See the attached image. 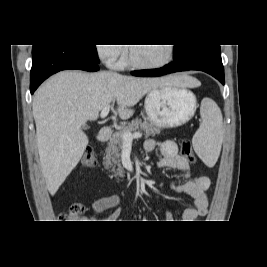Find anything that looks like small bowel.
Listing matches in <instances>:
<instances>
[{"instance_id":"1","label":"small bowel","mask_w":267,"mask_h":267,"mask_svg":"<svg viewBox=\"0 0 267 267\" xmlns=\"http://www.w3.org/2000/svg\"><path fill=\"white\" fill-rule=\"evenodd\" d=\"M159 148L162 154V158L158 162L160 168L176 169L182 173V176L186 181L182 184L174 183L171 189L177 193H186L193 198V207L187 209L180 222H193L198 218L204 216L208 210V198L206 190L210 186V179L207 176L201 175L193 179H189L191 174L187 160L178 153L177 144L171 140L157 141L155 139H148L145 142V150L151 152L154 149ZM120 196L113 194L103 196L95 200L92 204L93 219L96 216L108 209H115L111 215L113 221H117L120 218ZM166 218L172 220V214L166 213Z\"/></svg>"}]
</instances>
